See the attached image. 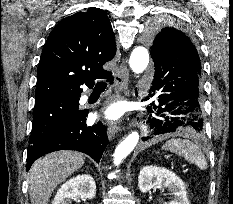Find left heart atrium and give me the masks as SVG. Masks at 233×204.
<instances>
[{
	"instance_id": "left-heart-atrium-1",
	"label": "left heart atrium",
	"mask_w": 233,
	"mask_h": 204,
	"mask_svg": "<svg viewBox=\"0 0 233 204\" xmlns=\"http://www.w3.org/2000/svg\"><path fill=\"white\" fill-rule=\"evenodd\" d=\"M122 113L120 106L114 104L106 108L100 113V116L107 120H116Z\"/></svg>"
}]
</instances>
